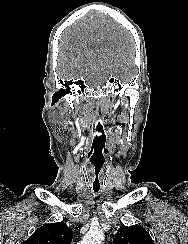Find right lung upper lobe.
Wrapping results in <instances>:
<instances>
[{
    "instance_id": "cb5924a9",
    "label": "right lung upper lobe",
    "mask_w": 188,
    "mask_h": 244,
    "mask_svg": "<svg viewBox=\"0 0 188 244\" xmlns=\"http://www.w3.org/2000/svg\"><path fill=\"white\" fill-rule=\"evenodd\" d=\"M72 230L64 222L45 224L22 244H70Z\"/></svg>"
}]
</instances>
